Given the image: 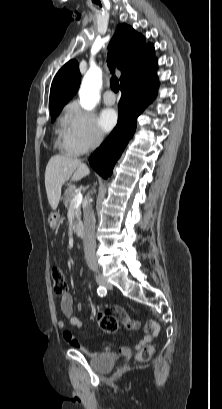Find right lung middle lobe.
<instances>
[{"label": "right lung middle lobe", "instance_id": "obj_1", "mask_svg": "<svg viewBox=\"0 0 222 409\" xmlns=\"http://www.w3.org/2000/svg\"><path fill=\"white\" fill-rule=\"evenodd\" d=\"M61 110H62V109H57V110H54V111H50V113H51V118H52L53 121H54L55 118L59 115V113H60Z\"/></svg>", "mask_w": 222, "mask_h": 409}]
</instances>
